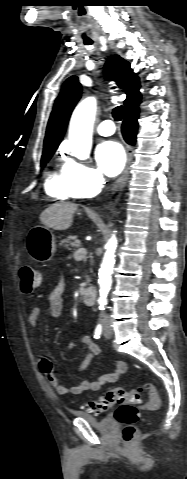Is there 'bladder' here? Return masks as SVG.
Wrapping results in <instances>:
<instances>
[{"label":"bladder","mask_w":187,"mask_h":479,"mask_svg":"<svg viewBox=\"0 0 187 479\" xmlns=\"http://www.w3.org/2000/svg\"><path fill=\"white\" fill-rule=\"evenodd\" d=\"M73 415L86 420L90 425H92L93 427H95L97 430H99L101 433H104V434H111L116 429V424L113 422L112 418L110 417L98 419L82 411H74Z\"/></svg>","instance_id":"bladder-1"}]
</instances>
